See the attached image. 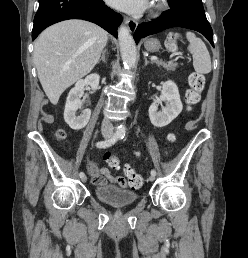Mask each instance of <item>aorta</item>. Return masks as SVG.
Segmentation results:
<instances>
[{"mask_svg": "<svg viewBox=\"0 0 248 258\" xmlns=\"http://www.w3.org/2000/svg\"><path fill=\"white\" fill-rule=\"evenodd\" d=\"M118 39H119L120 52H121V57H122L124 67L126 69H130L134 67L136 63L137 50H136L135 41L131 36L129 29L126 26L121 25L119 27ZM117 132L120 134H124L125 127L124 126L118 127Z\"/></svg>", "mask_w": 248, "mask_h": 258, "instance_id": "obj_1", "label": "aorta"}]
</instances>
